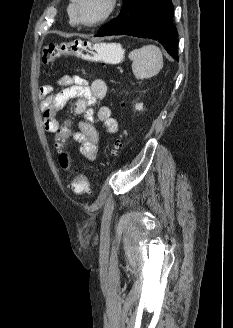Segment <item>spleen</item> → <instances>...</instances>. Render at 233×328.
I'll return each instance as SVG.
<instances>
[{"label":"spleen","mask_w":233,"mask_h":328,"mask_svg":"<svg viewBox=\"0 0 233 328\" xmlns=\"http://www.w3.org/2000/svg\"><path fill=\"white\" fill-rule=\"evenodd\" d=\"M103 49H113L120 51V46L111 43L102 45ZM132 60V71L137 79H148L157 75L163 67V56L159 47L155 45H145L139 49H134L129 53Z\"/></svg>","instance_id":"3e777b00"}]
</instances>
